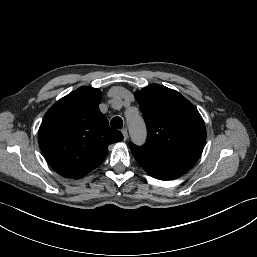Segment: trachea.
I'll list each match as a JSON object with an SVG mask.
<instances>
[{"label":"trachea","instance_id":"3493384b","mask_svg":"<svg viewBox=\"0 0 257 257\" xmlns=\"http://www.w3.org/2000/svg\"><path fill=\"white\" fill-rule=\"evenodd\" d=\"M110 125L113 128L121 129L123 127V120L120 117H114L110 121Z\"/></svg>","mask_w":257,"mask_h":257}]
</instances>
